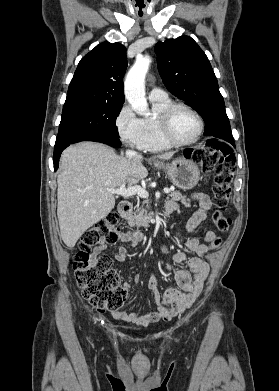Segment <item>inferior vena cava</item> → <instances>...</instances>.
Instances as JSON below:
<instances>
[{"mask_svg": "<svg viewBox=\"0 0 279 391\" xmlns=\"http://www.w3.org/2000/svg\"><path fill=\"white\" fill-rule=\"evenodd\" d=\"M135 155H137V153L135 151H133V150H127L126 151V156L127 157H133Z\"/></svg>", "mask_w": 279, "mask_h": 391, "instance_id": "1", "label": "inferior vena cava"}]
</instances>
